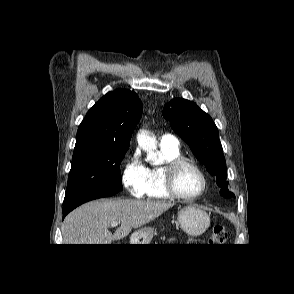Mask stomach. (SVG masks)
<instances>
[{"label": "stomach", "mask_w": 294, "mask_h": 294, "mask_svg": "<svg viewBox=\"0 0 294 294\" xmlns=\"http://www.w3.org/2000/svg\"><path fill=\"white\" fill-rule=\"evenodd\" d=\"M178 222L184 232L190 236H199L203 234L210 225V218L208 214L194 206H187L182 208L178 213ZM153 235L151 228H141L134 234L141 243L146 242ZM133 244H139L137 242Z\"/></svg>", "instance_id": "1"}]
</instances>
